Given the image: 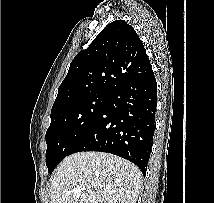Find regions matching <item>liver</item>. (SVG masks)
<instances>
[{
    "mask_svg": "<svg viewBox=\"0 0 214 203\" xmlns=\"http://www.w3.org/2000/svg\"><path fill=\"white\" fill-rule=\"evenodd\" d=\"M140 169L104 152H78L66 157L51 180V203H136ZM80 189V194H74Z\"/></svg>",
    "mask_w": 214,
    "mask_h": 203,
    "instance_id": "6515ba94",
    "label": "liver"
}]
</instances>
